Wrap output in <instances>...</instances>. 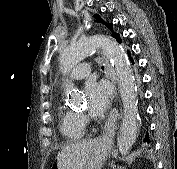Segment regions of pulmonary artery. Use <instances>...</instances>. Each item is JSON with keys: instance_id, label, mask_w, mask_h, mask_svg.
Listing matches in <instances>:
<instances>
[{"instance_id": "pulmonary-artery-1", "label": "pulmonary artery", "mask_w": 177, "mask_h": 169, "mask_svg": "<svg viewBox=\"0 0 177 169\" xmlns=\"http://www.w3.org/2000/svg\"><path fill=\"white\" fill-rule=\"evenodd\" d=\"M90 74L87 64H81L71 72V78L75 81L82 80Z\"/></svg>"}]
</instances>
